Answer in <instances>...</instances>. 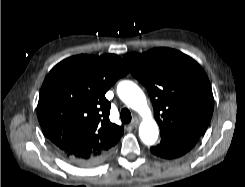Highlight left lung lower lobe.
Returning a JSON list of instances; mask_svg holds the SVG:
<instances>
[{"label":"left lung lower lobe","instance_id":"0a47b994","mask_svg":"<svg viewBox=\"0 0 245 187\" xmlns=\"http://www.w3.org/2000/svg\"><path fill=\"white\" fill-rule=\"evenodd\" d=\"M200 136L181 135V136H161V142L150 151L165 159L178 158L190 151Z\"/></svg>","mask_w":245,"mask_h":187}]
</instances>
